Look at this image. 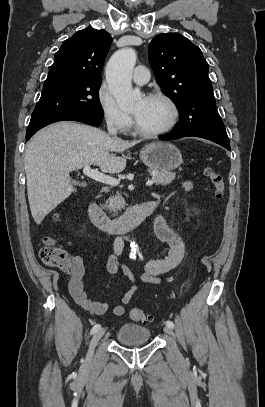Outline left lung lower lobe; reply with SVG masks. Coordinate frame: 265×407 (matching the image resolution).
<instances>
[{"mask_svg":"<svg viewBox=\"0 0 265 407\" xmlns=\"http://www.w3.org/2000/svg\"><path fill=\"white\" fill-rule=\"evenodd\" d=\"M190 136H193V135H185V134L176 135V134L171 133V134H168V135L161 136V137H159V139L160 140H170V139H178V138L190 137ZM195 137H198V136H195ZM215 143H217V144L225 147L226 149L230 150V144L218 143V142H215Z\"/></svg>","mask_w":265,"mask_h":407,"instance_id":"0a47b994","label":"left lung lower lobe"}]
</instances>
